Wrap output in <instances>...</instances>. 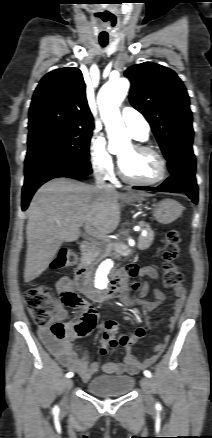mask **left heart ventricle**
Returning <instances> with one entry per match:
<instances>
[{"instance_id":"1","label":"left heart ventricle","mask_w":212,"mask_h":438,"mask_svg":"<svg viewBox=\"0 0 212 438\" xmlns=\"http://www.w3.org/2000/svg\"><path fill=\"white\" fill-rule=\"evenodd\" d=\"M119 158L124 172L134 180L149 181L159 175L158 159L150 153L129 146L119 153Z\"/></svg>"}]
</instances>
